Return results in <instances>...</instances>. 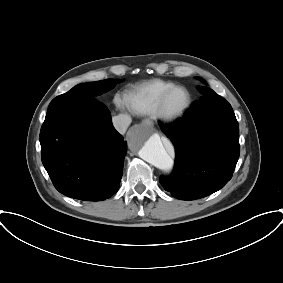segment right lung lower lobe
Masks as SVG:
<instances>
[{
  "label": "right lung lower lobe",
  "instance_id": "right-lung-lower-lobe-1",
  "mask_svg": "<svg viewBox=\"0 0 283 283\" xmlns=\"http://www.w3.org/2000/svg\"><path fill=\"white\" fill-rule=\"evenodd\" d=\"M39 139L42 163L60 193L101 201L118 191L126 142L104 104L94 99L47 111Z\"/></svg>",
  "mask_w": 283,
  "mask_h": 283
}]
</instances>
